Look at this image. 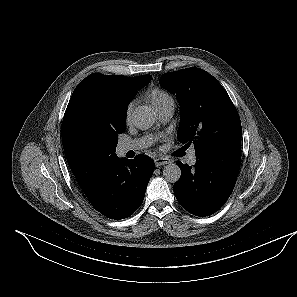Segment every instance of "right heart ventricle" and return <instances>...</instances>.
Listing matches in <instances>:
<instances>
[{
  "mask_svg": "<svg viewBox=\"0 0 297 297\" xmlns=\"http://www.w3.org/2000/svg\"><path fill=\"white\" fill-rule=\"evenodd\" d=\"M148 98L150 99L151 103L155 108L160 106L162 103H164L166 100L170 99L171 96L160 89H153L149 92Z\"/></svg>",
  "mask_w": 297,
  "mask_h": 297,
  "instance_id": "e07e8e85",
  "label": "right heart ventricle"
}]
</instances>
